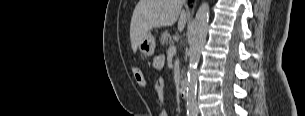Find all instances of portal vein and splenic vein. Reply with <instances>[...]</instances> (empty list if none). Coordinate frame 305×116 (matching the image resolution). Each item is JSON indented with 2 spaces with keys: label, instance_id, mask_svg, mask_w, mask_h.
I'll use <instances>...</instances> for the list:
<instances>
[{
  "label": "portal vein and splenic vein",
  "instance_id": "obj_1",
  "mask_svg": "<svg viewBox=\"0 0 305 116\" xmlns=\"http://www.w3.org/2000/svg\"><path fill=\"white\" fill-rule=\"evenodd\" d=\"M168 53H169V54H174V53H176V47L173 46V45H170V46H169V49H168Z\"/></svg>",
  "mask_w": 305,
  "mask_h": 116
}]
</instances>
